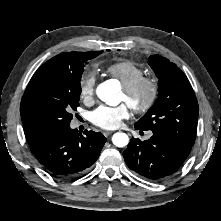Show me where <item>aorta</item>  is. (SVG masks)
<instances>
[{
    "label": "aorta",
    "mask_w": 221,
    "mask_h": 221,
    "mask_svg": "<svg viewBox=\"0 0 221 221\" xmlns=\"http://www.w3.org/2000/svg\"><path fill=\"white\" fill-rule=\"evenodd\" d=\"M97 96L107 104H114V90L109 81L100 84L96 90ZM112 142L117 147H125L129 143V138L126 133L117 132L112 137Z\"/></svg>",
    "instance_id": "1"
}]
</instances>
